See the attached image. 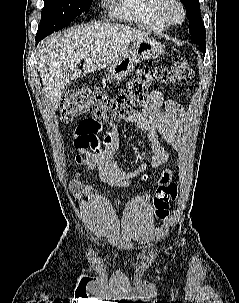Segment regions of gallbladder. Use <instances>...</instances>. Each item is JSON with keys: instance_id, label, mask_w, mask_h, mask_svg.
<instances>
[{"instance_id": "gallbladder-1", "label": "gallbladder", "mask_w": 239, "mask_h": 303, "mask_svg": "<svg viewBox=\"0 0 239 303\" xmlns=\"http://www.w3.org/2000/svg\"><path fill=\"white\" fill-rule=\"evenodd\" d=\"M65 86L68 87V86H70V84H66Z\"/></svg>"}]
</instances>
